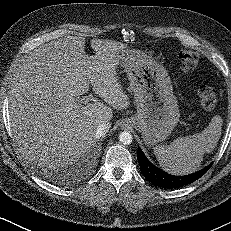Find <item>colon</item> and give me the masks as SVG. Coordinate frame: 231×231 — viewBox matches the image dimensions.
Instances as JSON below:
<instances>
[{"label":"colon","mask_w":231,"mask_h":231,"mask_svg":"<svg viewBox=\"0 0 231 231\" xmlns=\"http://www.w3.org/2000/svg\"><path fill=\"white\" fill-rule=\"evenodd\" d=\"M179 67L184 72H190L197 68L200 56L196 52L183 51L178 56ZM200 104L205 109H212L217 103V95L214 88L208 84L199 83L196 87Z\"/></svg>","instance_id":"colon-1"}]
</instances>
